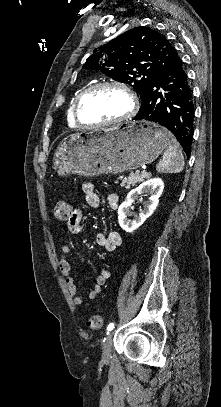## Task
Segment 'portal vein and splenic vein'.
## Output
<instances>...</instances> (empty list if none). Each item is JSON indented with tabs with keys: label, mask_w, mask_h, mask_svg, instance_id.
Wrapping results in <instances>:
<instances>
[{
	"label": "portal vein and splenic vein",
	"mask_w": 221,
	"mask_h": 407,
	"mask_svg": "<svg viewBox=\"0 0 221 407\" xmlns=\"http://www.w3.org/2000/svg\"><path fill=\"white\" fill-rule=\"evenodd\" d=\"M139 173H140V170H137V171H136V174H139ZM141 173H142V174H145V171H141Z\"/></svg>",
	"instance_id": "1"
}]
</instances>
